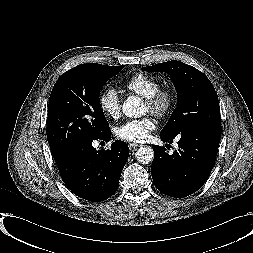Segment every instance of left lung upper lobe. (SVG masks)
<instances>
[{
    "label": "left lung upper lobe",
    "instance_id": "obj_1",
    "mask_svg": "<svg viewBox=\"0 0 253 253\" xmlns=\"http://www.w3.org/2000/svg\"><path fill=\"white\" fill-rule=\"evenodd\" d=\"M142 70L168 73L177 90V107L160 135L174 137L194 125L221 126L217 93L210 80L198 69L173 60Z\"/></svg>",
    "mask_w": 253,
    "mask_h": 253
}]
</instances>
